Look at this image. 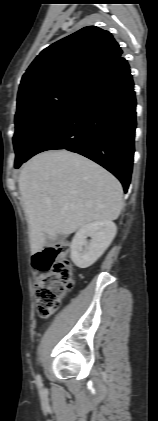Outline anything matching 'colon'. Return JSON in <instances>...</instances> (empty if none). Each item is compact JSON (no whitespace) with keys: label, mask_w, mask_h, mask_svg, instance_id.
<instances>
[{"label":"colon","mask_w":158,"mask_h":421,"mask_svg":"<svg viewBox=\"0 0 158 421\" xmlns=\"http://www.w3.org/2000/svg\"><path fill=\"white\" fill-rule=\"evenodd\" d=\"M68 251L69 246L62 243L33 256V266L38 273L34 295L37 313L41 317L55 313L74 284L72 264L66 258Z\"/></svg>","instance_id":"5ec220e1"}]
</instances>
